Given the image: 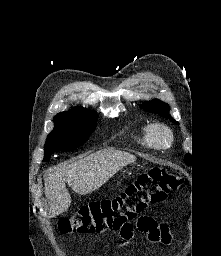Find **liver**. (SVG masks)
I'll list each match as a JSON object with an SVG mask.
<instances>
[{
    "instance_id": "6515ba94",
    "label": "liver",
    "mask_w": 221,
    "mask_h": 256,
    "mask_svg": "<svg viewBox=\"0 0 221 256\" xmlns=\"http://www.w3.org/2000/svg\"><path fill=\"white\" fill-rule=\"evenodd\" d=\"M135 161L136 157L130 153L104 149L50 169L44 189L51 217L65 212L71 205L66 184L76 193L87 195L99 189L120 169Z\"/></svg>"
}]
</instances>
